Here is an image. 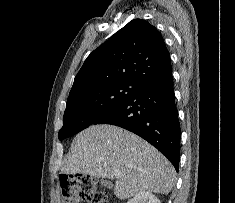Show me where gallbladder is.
I'll list each match as a JSON object with an SVG mask.
<instances>
[{
    "label": "gallbladder",
    "instance_id": "gallbladder-1",
    "mask_svg": "<svg viewBox=\"0 0 235 203\" xmlns=\"http://www.w3.org/2000/svg\"><path fill=\"white\" fill-rule=\"evenodd\" d=\"M102 184H104L105 186H107L109 188L112 187V183L109 180H106V179L102 180Z\"/></svg>",
    "mask_w": 235,
    "mask_h": 203
}]
</instances>
